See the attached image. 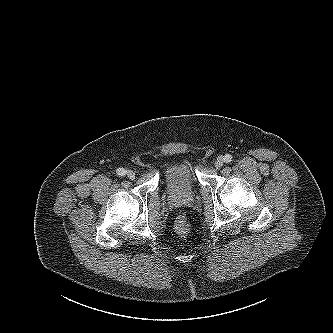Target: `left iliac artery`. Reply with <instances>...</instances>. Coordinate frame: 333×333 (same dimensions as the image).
<instances>
[{"label": "left iliac artery", "instance_id": "obj_1", "mask_svg": "<svg viewBox=\"0 0 333 333\" xmlns=\"http://www.w3.org/2000/svg\"><path fill=\"white\" fill-rule=\"evenodd\" d=\"M224 161H225L226 163L231 162V161H232V155H230V154L225 155V156H224Z\"/></svg>", "mask_w": 333, "mask_h": 333}]
</instances>
